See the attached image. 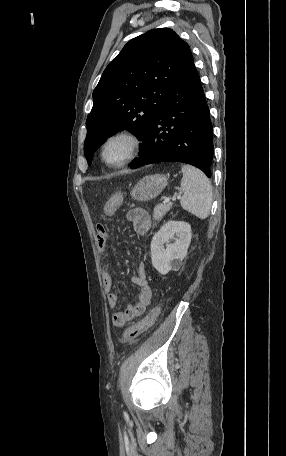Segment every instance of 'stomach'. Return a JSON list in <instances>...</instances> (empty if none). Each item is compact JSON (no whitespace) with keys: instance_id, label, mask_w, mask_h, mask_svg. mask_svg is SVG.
I'll list each match as a JSON object with an SVG mask.
<instances>
[{"instance_id":"stomach-1","label":"stomach","mask_w":286,"mask_h":456,"mask_svg":"<svg viewBox=\"0 0 286 456\" xmlns=\"http://www.w3.org/2000/svg\"><path fill=\"white\" fill-rule=\"evenodd\" d=\"M168 184V177L163 174L149 175L141 179L131 190L130 195L137 201H149L156 198Z\"/></svg>"}]
</instances>
